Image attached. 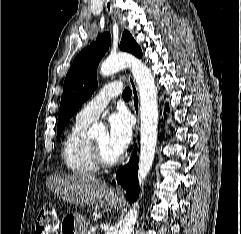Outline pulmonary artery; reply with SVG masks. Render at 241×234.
Instances as JSON below:
<instances>
[{
  "instance_id": "e3ab8cb5",
  "label": "pulmonary artery",
  "mask_w": 241,
  "mask_h": 234,
  "mask_svg": "<svg viewBox=\"0 0 241 234\" xmlns=\"http://www.w3.org/2000/svg\"><path fill=\"white\" fill-rule=\"evenodd\" d=\"M121 92L122 86L117 82L105 85L101 91L77 113L76 119L82 122H93L98 118L104 108H106L110 99L118 96Z\"/></svg>"
}]
</instances>
